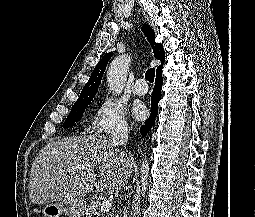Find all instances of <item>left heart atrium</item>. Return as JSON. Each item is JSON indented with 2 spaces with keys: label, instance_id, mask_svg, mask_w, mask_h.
Listing matches in <instances>:
<instances>
[{
  "label": "left heart atrium",
  "instance_id": "left-heart-atrium-1",
  "mask_svg": "<svg viewBox=\"0 0 255 217\" xmlns=\"http://www.w3.org/2000/svg\"><path fill=\"white\" fill-rule=\"evenodd\" d=\"M132 113H133V116L135 117V119L143 120L147 115V109L144 106V104L138 102V103L134 104V106L132 108Z\"/></svg>",
  "mask_w": 255,
  "mask_h": 217
}]
</instances>
